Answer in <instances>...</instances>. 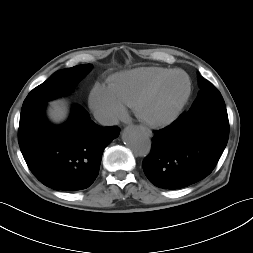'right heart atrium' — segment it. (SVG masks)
Wrapping results in <instances>:
<instances>
[{"instance_id": "right-heart-atrium-1", "label": "right heart atrium", "mask_w": 253, "mask_h": 253, "mask_svg": "<svg viewBox=\"0 0 253 253\" xmlns=\"http://www.w3.org/2000/svg\"><path fill=\"white\" fill-rule=\"evenodd\" d=\"M89 103L98 118L106 123L115 122L126 115L124 104L109 86L95 84L90 92Z\"/></svg>"}]
</instances>
